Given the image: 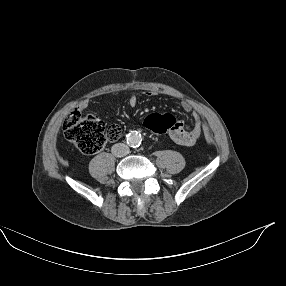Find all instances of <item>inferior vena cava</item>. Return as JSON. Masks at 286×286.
<instances>
[{"label": "inferior vena cava", "instance_id": "602c4592", "mask_svg": "<svg viewBox=\"0 0 286 286\" xmlns=\"http://www.w3.org/2000/svg\"><path fill=\"white\" fill-rule=\"evenodd\" d=\"M111 152L116 157H124L129 154V147L123 143H117L112 146Z\"/></svg>", "mask_w": 286, "mask_h": 286}]
</instances>
